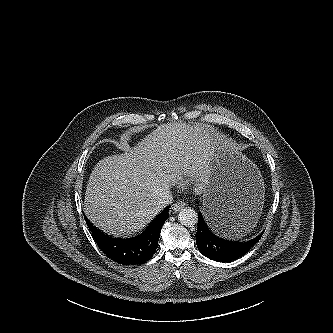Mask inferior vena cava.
I'll return each instance as SVG.
<instances>
[{"mask_svg":"<svg viewBox=\"0 0 333 333\" xmlns=\"http://www.w3.org/2000/svg\"><path fill=\"white\" fill-rule=\"evenodd\" d=\"M172 201H173V196L171 192L170 191L163 192L157 201L156 209L162 210L163 208L171 204Z\"/></svg>","mask_w":333,"mask_h":333,"instance_id":"1","label":"inferior vena cava"}]
</instances>
